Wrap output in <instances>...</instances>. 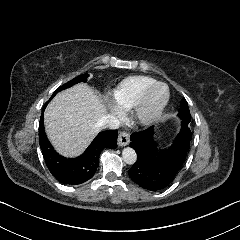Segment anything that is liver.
Here are the masks:
<instances>
[{"mask_svg": "<svg viewBox=\"0 0 240 240\" xmlns=\"http://www.w3.org/2000/svg\"><path fill=\"white\" fill-rule=\"evenodd\" d=\"M98 89L85 82L59 91L48 103L43 123L53 150L62 158L82 156L98 133L97 121L110 113Z\"/></svg>", "mask_w": 240, "mask_h": 240, "instance_id": "liver-1", "label": "liver"}]
</instances>
